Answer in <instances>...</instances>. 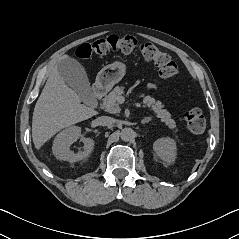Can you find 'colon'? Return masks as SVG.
<instances>
[{
    "instance_id": "5ec220e1",
    "label": "colon",
    "mask_w": 239,
    "mask_h": 239,
    "mask_svg": "<svg viewBox=\"0 0 239 239\" xmlns=\"http://www.w3.org/2000/svg\"><path fill=\"white\" fill-rule=\"evenodd\" d=\"M137 41L131 36L112 35L98 39L91 43H84L76 50V55L81 59H90L94 55H104L111 51L131 53L135 50ZM140 55L144 60L153 62L163 78H174L179 73L178 65L172 58L151 43L140 45ZM189 129L194 133H202L206 121L203 113L196 108L190 109L185 114Z\"/></svg>"
}]
</instances>
